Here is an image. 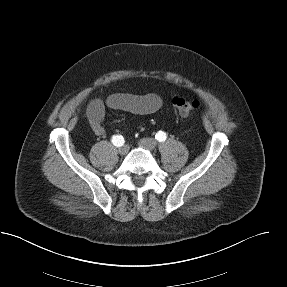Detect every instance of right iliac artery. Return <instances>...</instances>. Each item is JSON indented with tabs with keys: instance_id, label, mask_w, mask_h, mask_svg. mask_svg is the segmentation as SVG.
Returning <instances> with one entry per match:
<instances>
[{
	"instance_id": "right-iliac-artery-1",
	"label": "right iliac artery",
	"mask_w": 287,
	"mask_h": 287,
	"mask_svg": "<svg viewBox=\"0 0 287 287\" xmlns=\"http://www.w3.org/2000/svg\"><path fill=\"white\" fill-rule=\"evenodd\" d=\"M111 141L117 147H120L125 143V140L121 135H114Z\"/></svg>"
}]
</instances>
